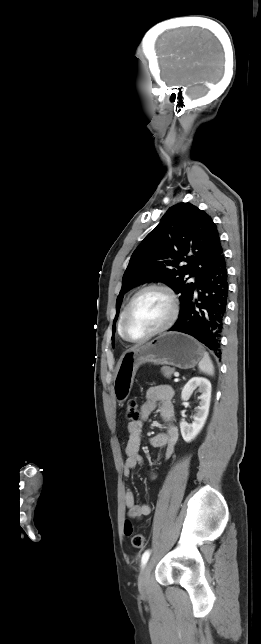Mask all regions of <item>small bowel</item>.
Returning <instances> with one entry per match:
<instances>
[{
    "instance_id": "small-bowel-1",
    "label": "small bowel",
    "mask_w": 261,
    "mask_h": 644,
    "mask_svg": "<svg viewBox=\"0 0 261 644\" xmlns=\"http://www.w3.org/2000/svg\"><path fill=\"white\" fill-rule=\"evenodd\" d=\"M173 395L174 391L168 385L154 386L147 390L145 401L141 406L140 419L129 422L127 426L129 437L125 448L126 459L123 464V474L125 477H129L132 470L143 462L139 454L143 423L156 410L158 405H160L159 412L165 423V430L150 437V444L155 448L164 447L166 459L170 458L175 452L179 440V431L173 423ZM152 476L154 477V475ZM124 502L127 515L130 518L139 519L150 514L151 508L149 504L146 502L136 503L133 492L130 489H127L125 492Z\"/></svg>"
}]
</instances>
